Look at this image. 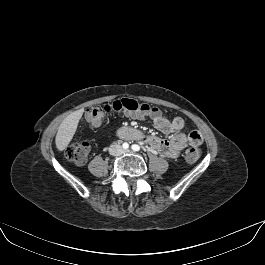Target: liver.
<instances>
[{
  "label": "liver",
  "mask_w": 265,
  "mask_h": 265,
  "mask_svg": "<svg viewBox=\"0 0 265 265\" xmlns=\"http://www.w3.org/2000/svg\"><path fill=\"white\" fill-rule=\"evenodd\" d=\"M83 112L84 110L80 109L71 113L60 124L55 138L56 148L59 151L65 150L72 140Z\"/></svg>",
  "instance_id": "6515ba94"
}]
</instances>
